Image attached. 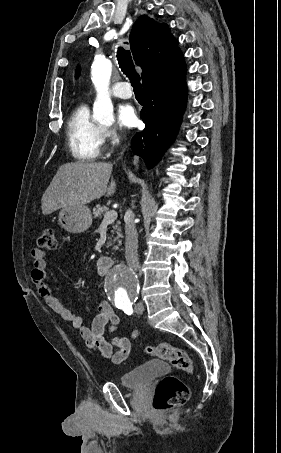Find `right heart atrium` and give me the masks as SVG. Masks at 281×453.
Here are the masks:
<instances>
[{
	"instance_id": "1",
	"label": "right heart atrium",
	"mask_w": 281,
	"mask_h": 453,
	"mask_svg": "<svg viewBox=\"0 0 281 453\" xmlns=\"http://www.w3.org/2000/svg\"><path fill=\"white\" fill-rule=\"evenodd\" d=\"M105 137L116 145L125 137V132L118 126H111L105 128Z\"/></svg>"
}]
</instances>
